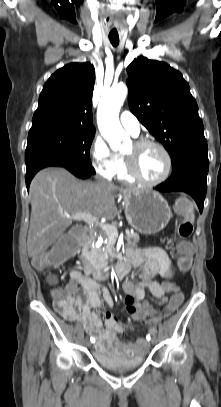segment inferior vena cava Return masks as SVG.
<instances>
[{"mask_svg":"<svg viewBox=\"0 0 221 407\" xmlns=\"http://www.w3.org/2000/svg\"><path fill=\"white\" fill-rule=\"evenodd\" d=\"M97 180H98V182H100V183H108V182H106L105 180L101 179L100 177H97Z\"/></svg>","mask_w":221,"mask_h":407,"instance_id":"inferior-vena-cava-1","label":"inferior vena cava"}]
</instances>
